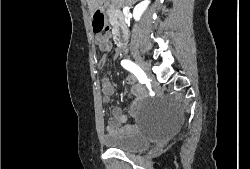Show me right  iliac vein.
Masks as SVG:
<instances>
[{"label":"right iliac vein","mask_w":250,"mask_h":169,"mask_svg":"<svg viewBox=\"0 0 250 169\" xmlns=\"http://www.w3.org/2000/svg\"><path fill=\"white\" fill-rule=\"evenodd\" d=\"M136 63L140 66V68L147 74L149 78H151V74L149 72V65L142 58H135Z\"/></svg>","instance_id":"1"}]
</instances>
